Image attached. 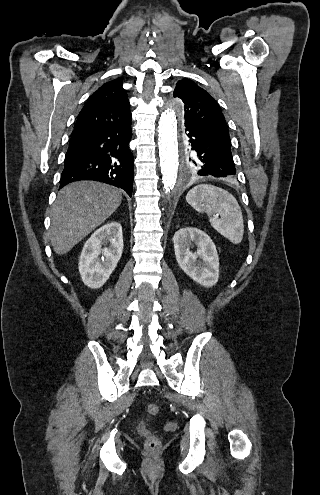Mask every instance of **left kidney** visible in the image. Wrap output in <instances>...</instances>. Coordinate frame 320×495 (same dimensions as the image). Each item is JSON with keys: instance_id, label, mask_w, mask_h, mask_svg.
<instances>
[{"instance_id": "1", "label": "left kidney", "mask_w": 320, "mask_h": 495, "mask_svg": "<svg viewBox=\"0 0 320 495\" xmlns=\"http://www.w3.org/2000/svg\"><path fill=\"white\" fill-rule=\"evenodd\" d=\"M173 243L176 260L190 278L205 287L218 282L219 258L215 244L206 233L196 228H183L175 233ZM194 245L196 252L191 251Z\"/></svg>"}]
</instances>
